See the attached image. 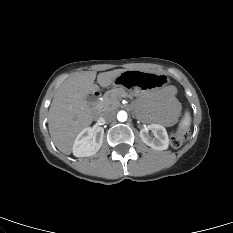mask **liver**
I'll return each instance as SVG.
<instances>
[{"label": "liver", "instance_id": "1", "mask_svg": "<svg viewBox=\"0 0 233 233\" xmlns=\"http://www.w3.org/2000/svg\"><path fill=\"white\" fill-rule=\"evenodd\" d=\"M125 69H115L98 74L97 82L107 88ZM96 72L84 71L67 79L56 92L49 108L48 127L56 147L69 155L77 134L91 125L92 110L87 96L99 87L94 84Z\"/></svg>", "mask_w": 233, "mask_h": 233}]
</instances>
